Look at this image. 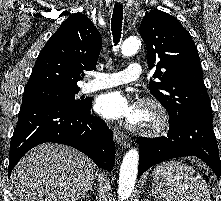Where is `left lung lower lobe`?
I'll return each instance as SVG.
<instances>
[{"label": "left lung lower lobe", "instance_id": "1", "mask_svg": "<svg viewBox=\"0 0 221 201\" xmlns=\"http://www.w3.org/2000/svg\"><path fill=\"white\" fill-rule=\"evenodd\" d=\"M184 156L199 157L219 179L221 165L212 115L196 113L177 123L170 122L167 137L139 138L138 176L159 162Z\"/></svg>", "mask_w": 221, "mask_h": 201}]
</instances>
